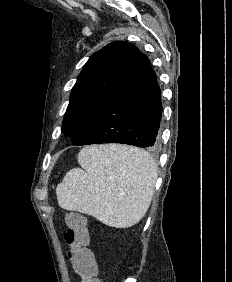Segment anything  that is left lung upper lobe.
Wrapping results in <instances>:
<instances>
[{"mask_svg":"<svg viewBox=\"0 0 232 282\" xmlns=\"http://www.w3.org/2000/svg\"><path fill=\"white\" fill-rule=\"evenodd\" d=\"M141 56L133 44L115 41L86 62L71 90L61 129L74 145L89 139L101 108L125 83Z\"/></svg>","mask_w":232,"mask_h":282,"instance_id":"5c2ea615","label":"left lung upper lobe"}]
</instances>
